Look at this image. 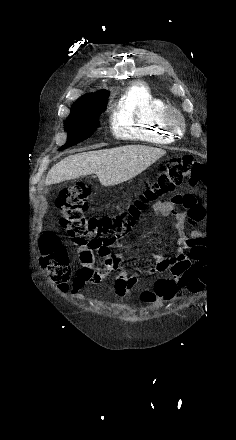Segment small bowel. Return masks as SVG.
I'll return each instance as SVG.
<instances>
[{
    "label": "small bowel",
    "instance_id": "obj_1",
    "mask_svg": "<svg viewBox=\"0 0 236 440\" xmlns=\"http://www.w3.org/2000/svg\"><path fill=\"white\" fill-rule=\"evenodd\" d=\"M151 208L155 215L174 220L177 250L169 255H157L152 267L137 275H129L122 266V258L118 253H112L109 248L105 247L94 250L73 242L81 264L72 283L71 294L73 297L82 299L80 290L85 285H97L104 278L113 274H116L114 290L120 298H125L134 292L140 279L153 273H169L176 288L189 287L194 280L203 281L201 258L195 247L198 234L186 231L188 219L199 221L204 215V210L198 205L195 195L192 193L175 195L171 201L154 202ZM62 253L67 260L68 253L65 247L62 248ZM96 253L103 259V264L97 268L94 266ZM146 291L149 290L142 293V300L147 303L155 302L158 295L152 292L151 297L146 299L143 297Z\"/></svg>",
    "mask_w": 236,
    "mask_h": 440
}]
</instances>
